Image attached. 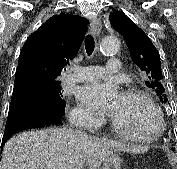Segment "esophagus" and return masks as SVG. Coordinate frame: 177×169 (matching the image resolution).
<instances>
[{"label": "esophagus", "mask_w": 177, "mask_h": 169, "mask_svg": "<svg viewBox=\"0 0 177 169\" xmlns=\"http://www.w3.org/2000/svg\"><path fill=\"white\" fill-rule=\"evenodd\" d=\"M89 29H90V32L92 35H94V36L99 35L102 30V24H101L100 20L98 18H94L90 22Z\"/></svg>", "instance_id": "1"}]
</instances>
